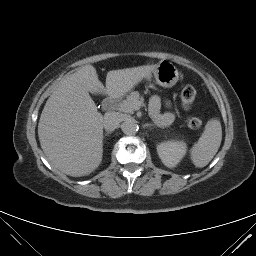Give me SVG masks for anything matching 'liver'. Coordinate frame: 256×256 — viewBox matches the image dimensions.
I'll list each match as a JSON object with an SVG mask.
<instances>
[{
	"label": "liver",
	"mask_w": 256,
	"mask_h": 256,
	"mask_svg": "<svg viewBox=\"0 0 256 256\" xmlns=\"http://www.w3.org/2000/svg\"><path fill=\"white\" fill-rule=\"evenodd\" d=\"M149 70L139 66L107 73L106 87L96 69L85 65L60 81L47 100L38 124L41 148L51 165L80 177L94 171L103 156V116L89 92L118 98L141 82Z\"/></svg>",
	"instance_id": "1"
}]
</instances>
